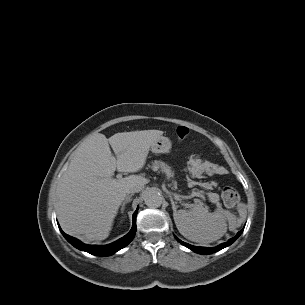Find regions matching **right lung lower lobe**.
Here are the masks:
<instances>
[{
    "mask_svg": "<svg viewBox=\"0 0 305 305\" xmlns=\"http://www.w3.org/2000/svg\"><path fill=\"white\" fill-rule=\"evenodd\" d=\"M137 211H138V209L133 214V226H132V229L130 230V232L128 234H126L124 237H122L121 239H119L111 244L104 245V246L83 244L78 239L65 234L61 230L60 227H59V229H60L61 233L63 234V236L66 238V240L70 244H72L74 247H76L77 249L86 251V252H88L92 255H96V256H109V255L116 253L117 251L124 248L125 246H127L134 238L135 233H136Z\"/></svg>",
    "mask_w": 305,
    "mask_h": 305,
    "instance_id": "98d812e1",
    "label": "right lung lower lobe"
}]
</instances>
